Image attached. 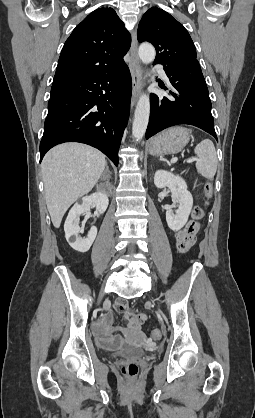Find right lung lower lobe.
I'll list each match as a JSON object with an SVG mask.
<instances>
[{"label":"right lung lower lobe","mask_w":255,"mask_h":418,"mask_svg":"<svg viewBox=\"0 0 255 418\" xmlns=\"http://www.w3.org/2000/svg\"><path fill=\"white\" fill-rule=\"evenodd\" d=\"M131 91L126 64L108 73L53 82L40 161L57 144L81 142L99 149L117 166Z\"/></svg>","instance_id":"obj_1"}]
</instances>
